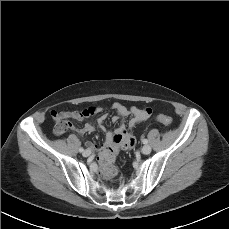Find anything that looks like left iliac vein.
<instances>
[{
  "mask_svg": "<svg viewBox=\"0 0 229 229\" xmlns=\"http://www.w3.org/2000/svg\"><path fill=\"white\" fill-rule=\"evenodd\" d=\"M141 152L143 154H149L151 152V146L150 145H144L141 149Z\"/></svg>",
  "mask_w": 229,
  "mask_h": 229,
  "instance_id": "obj_1",
  "label": "left iliac vein"
}]
</instances>
